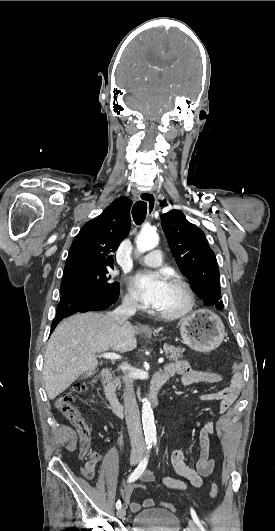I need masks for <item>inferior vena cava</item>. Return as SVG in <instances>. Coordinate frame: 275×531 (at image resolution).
Segmentation results:
<instances>
[{"label": "inferior vena cava", "instance_id": "obj_1", "mask_svg": "<svg viewBox=\"0 0 275 531\" xmlns=\"http://www.w3.org/2000/svg\"><path fill=\"white\" fill-rule=\"evenodd\" d=\"M136 313V301L134 299H126L123 301V305L115 309L113 313H108L109 317H112L117 323H124L129 317ZM119 369H122L123 373L130 371L127 363H121ZM124 399V413L125 421L128 429V435L132 449H143V435L141 429L140 413L136 401V395L134 391L133 379L130 375H127L126 387L123 393Z\"/></svg>", "mask_w": 275, "mask_h": 531}]
</instances>
